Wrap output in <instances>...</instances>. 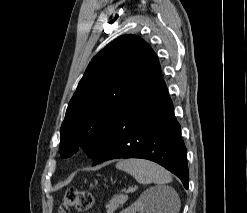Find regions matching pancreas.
I'll use <instances>...</instances> for the list:
<instances>
[{"label": "pancreas", "mask_w": 247, "mask_h": 213, "mask_svg": "<svg viewBox=\"0 0 247 213\" xmlns=\"http://www.w3.org/2000/svg\"><path fill=\"white\" fill-rule=\"evenodd\" d=\"M128 197L123 194H118L113 196L109 203L106 204L107 213H113L119 206H122L126 201Z\"/></svg>", "instance_id": "obj_1"}]
</instances>
